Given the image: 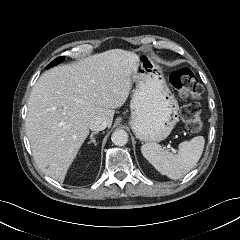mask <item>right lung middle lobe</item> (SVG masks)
<instances>
[{"mask_svg": "<svg viewBox=\"0 0 240 240\" xmlns=\"http://www.w3.org/2000/svg\"><path fill=\"white\" fill-rule=\"evenodd\" d=\"M64 58H65L64 56L56 58L54 61H52V62L47 66V68H50V67H53V66L59 64L61 61L64 60Z\"/></svg>", "mask_w": 240, "mask_h": 240, "instance_id": "dd1d6c3e", "label": "right lung middle lobe"}]
</instances>
